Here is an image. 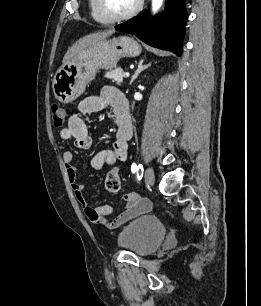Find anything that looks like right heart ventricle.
Listing matches in <instances>:
<instances>
[{"label": "right heart ventricle", "instance_id": "1", "mask_svg": "<svg viewBox=\"0 0 261 306\" xmlns=\"http://www.w3.org/2000/svg\"><path fill=\"white\" fill-rule=\"evenodd\" d=\"M91 17L98 23L108 24L111 21L108 20L100 11L98 6V0H88Z\"/></svg>", "mask_w": 261, "mask_h": 306}]
</instances>
